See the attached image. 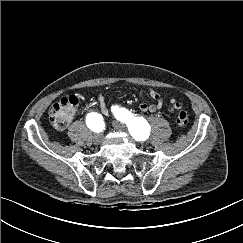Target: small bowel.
<instances>
[{
	"instance_id": "c3829d8e",
	"label": "small bowel",
	"mask_w": 243,
	"mask_h": 243,
	"mask_svg": "<svg viewBox=\"0 0 243 243\" xmlns=\"http://www.w3.org/2000/svg\"><path fill=\"white\" fill-rule=\"evenodd\" d=\"M148 95L155 101L154 104H147V103H140L138 108L141 112H156L164 108V98L161 96L159 92L156 90L149 88L147 91ZM99 109L102 114H108L109 108L107 107L106 103L104 102L103 96L98 95L97 97ZM182 108V104L178 102L174 97L169 99V105L167 106L166 110L168 112H175Z\"/></svg>"
}]
</instances>
